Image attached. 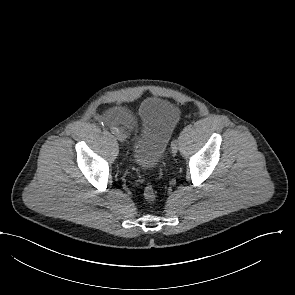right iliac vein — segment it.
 I'll return each mask as SVG.
<instances>
[{"label":"right iliac vein","mask_w":295,"mask_h":295,"mask_svg":"<svg viewBox=\"0 0 295 295\" xmlns=\"http://www.w3.org/2000/svg\"><path fill=\"white\" fill-rule=\"evenodd\" d=\"M116 137L120 142H125L127 138L123 132L116 133Z\"/></svg>","instance_id":"obj_1"}]
</instances>
